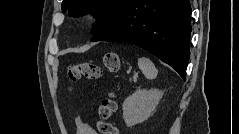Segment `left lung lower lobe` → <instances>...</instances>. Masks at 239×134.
Wrapping results in <instances>:
<instances>
[{
    "label": "left lung lower lobe",
    "instance_id": "0a47b994",
    "mask_svg": "<svg viewBox=\"0 0 239 134\" xmlns=\"http://www.w3.org/2000/svg\"><path fill=\"white\" fill-rule=\"evenodd\" d=\"M190 20L189 0H127L115 21L91 40L139 46L172 66L185 80Z\"/></svg>",
    "mask_w": 239,
    "mask_h": 134
}]
</instances>
